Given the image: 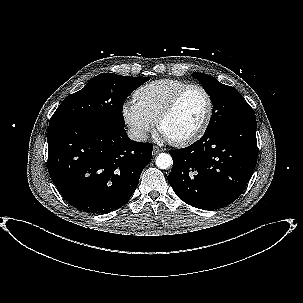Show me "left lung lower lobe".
<instances>
[{"instance_id": "1", "label": "left lung lower lobe", "mask_w": 303, "mask_h": 303, "mask_svg": "<svg viewBox=\"0 0 303 303\" xmlns=\"http://www.w3.org/2000/svg\"><path fill=\"white\" fill-rule=\"evenodd\" d=\"M256 119L234 122L204 133L194 144L170 150L168 182L187 204L217 209L244 191L257 162Z\"/></svg>"}]
</instances>
